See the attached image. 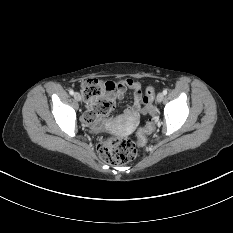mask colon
I'll return each mask as SVG.
<instances>
[{
  "instance_id": "1",
  "label": "colon",
  "mask_w": 233,
  "mask_h": 233,
  "mask_svg": "<svg viewBox=\"0 0 233 233\" xmlns=\"http://www.w3.org/2000/svg\"><path fill=\"white\" fill-rule=\"evenodd\" d=\"M115 84L100 79H88L82 85V92L86 100H98L97 112L101 115L108 114L114 106L113 93ZM154 96V88L148 87L144 96L145 103H149ZM154 130V123L149 121L138 132L137 142L128 138L107 137L97 147L102 160L109 164H125L137 156V145L146 142V136Z\"/></svg>"
}]
</instances>
